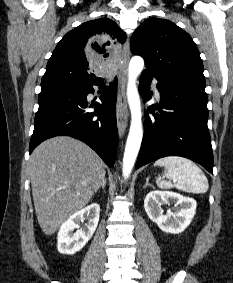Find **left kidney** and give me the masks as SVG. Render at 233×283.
<instances>
[{
  "label": "left kidney",
  "instance_id": "left-kidney-1",
  "mask_svg": "<svg viewBox=\"0 0 233 283\" xmlns=\"http://www.w3.org/2000/svg\"><path fill=\"white\" fill-rule=\"evenodd\" d=\"M174 204L173 211L163 214L162 204ZM197 203L193 198H187L169 191H152L144 200V208L148 217L166 233L179 234L191 223Z\"/></svg>",
  "mask_w": 233,
  "mask_h": 283
}]
</instances>
